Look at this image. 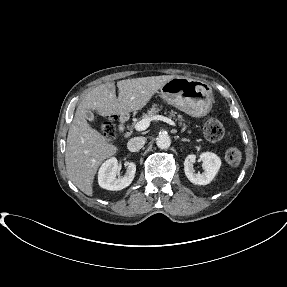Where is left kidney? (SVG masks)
I'll return each instance as SVG.
<instances>
[{"mask_svg": "<svg viewBox=\"0 0 287 287\" xmlns=\"http://www.w3.org/2000/svg\"><path fill=\"white\" fill-rule=\"evenodd\" d=\"M200 160L203 163L204 171L202 173H195L193 164L196 161V155L189 154L184 161V172L190 182L197 185L209 184L217 174L220 166V158L211 152H204L200 154Z\"/></svg>", "mask_w": 287, "mask_h": 287, "instance_id": "left-kidney-1", "label": "left kidney"}]
</instances>
